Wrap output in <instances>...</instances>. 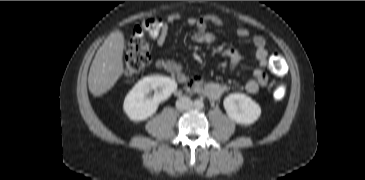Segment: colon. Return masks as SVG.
Segmentation results:
<instances>
[{"label":"colon","instance_id":"obj_1","mask_svg":"<svg viewBox=\"0 0 365 180\" xmlns=\"http://www.w3.org/2000/svg\"><path fill=\"white\" fill-rule=\"evenodd\" d=\"M164 26V21L160 16H152L141 22L128 39L124 59L123 69L127 75L140 73L149 63L148 38H155L159 35ZM268 68L274 75L280 76L285 73L286 64L280 52H273L268 61ZM283 89H279L277 96L281 97Z\"/></svg>","mask_w":365,"mask_h":180}]
</instances>
